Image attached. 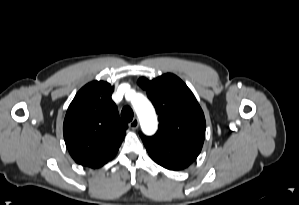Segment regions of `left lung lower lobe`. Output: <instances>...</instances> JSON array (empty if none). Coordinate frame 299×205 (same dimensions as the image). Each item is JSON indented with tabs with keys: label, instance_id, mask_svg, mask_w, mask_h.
<instances>
[{
	"label": "left lung lower lobe",
	"instance_id": "obj_1",
	"mask_svg": "<svg viewBox=\"0 0 299 205\" xmlns=\"http://www.w3.org/2000/svg\"><path fill=\"white\" fill-rule=\"evenodd\" d=\"M143 143L149 156L169 170H182L188 167L197 158L203 146L185 141Z\"/></svg>",
	"mask_w": 299,
	"mask_h": 205
}]
</instances>
